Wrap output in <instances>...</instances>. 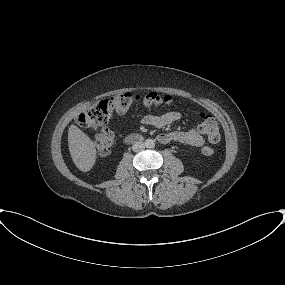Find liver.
<instances>
[{
	"label": "liver",
	"mask_w": 285,
	"mask_h": 285,
	"mask_svg": "<svg viewBox=\"0 0 285 285\" xmlns=\"http://www.w3.org/2000/svg\"><path fill=\"white\" fill-rule=\"evenodd\" d=\"M68 146L71 158L82 172H88L96 161V148L93 141L76 125L68 130Z\"/></svg>",
	"instance_id": "6515ba94"
}]
</instances>
